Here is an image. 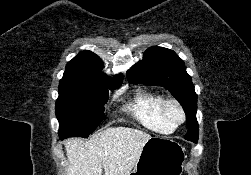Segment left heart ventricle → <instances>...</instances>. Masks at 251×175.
<instances>
[{"mask_svg": "<svg viewBox=\"0 0 251 175\" xmlns=\"http://www.w3.org/2000/svg\"><path fill=\"white\" fill-rule=\"evenodd\" d=\"M168 116H169L168 124L170 126H173L181 118V114H180L179 110L174 105L169 106Z\"/></svg>", "mask_w": 251, "mask_h": 175, "instance_id": "obj_1", "label": "left heart ventricle"}]
</instances>
